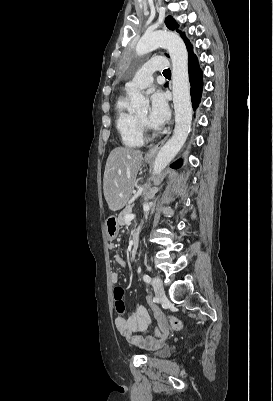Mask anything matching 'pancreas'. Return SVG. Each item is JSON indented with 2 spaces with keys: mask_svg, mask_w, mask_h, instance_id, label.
Returning a JSON list of instances; mask_svg holds the SVG:
<instances>
[{
  "mask_svg": "<svg viewBox=\"0 0 273 401\" xmlns=\"http://www.w3.org/2000/svg\"><path fill=\"white\" fill-rule=\"evenodd\" d=\"M132 207L133 205H127V207L121 211L118 217V225H120V227H122V225H128L127 221H125V215H130V213H132Z\"/></svg>",
  "mask_w": 273,
  "mask_h": 401,
  "instance_id": "1",
  "label": "pancreas"
}]
</instances>
